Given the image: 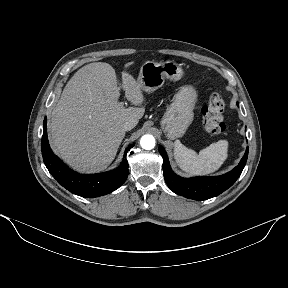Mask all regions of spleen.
<instances>
[{
    "mask_svg": "<svg viewBox=\"0 0 288 288\" xmlns=\"http://www.w3.org/2000/svg\"><path fill=\"white\" fill-rule=\"evenodd\" d=\"M228 157V142L220 140L202 149L199 154L185 147L179 140L174 143L177 165L191 175H207L217 171Z\"/></svg>",
    "mask_w": 288,
    "mask_h": 288,
    "instance_id": "1",
    "label": "spleen"
}]
</instances>
